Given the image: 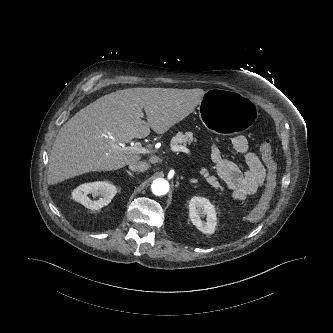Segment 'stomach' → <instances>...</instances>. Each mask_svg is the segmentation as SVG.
<instances>
[{
  "mask_svg": "<svg viewBox=\"0 0 333 333\" xmlns=\"http://www.w3.org/2000/svg\"><path fill=\"white\" fill-rule=\"evenodd\" d=\"M199 115L207 129L216 135H241L256 125L258 109L247 96L213 90L201 99Z\"/></svg>",
  "mask_w": 333,
  "mask_h": 333,
  "instance_id": "obj_1",
  "label": "stomach"
}]
</instances>
